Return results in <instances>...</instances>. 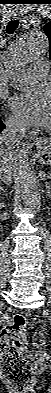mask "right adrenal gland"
Returning a JSON list of instances; mask_svg holds the SVG:
<instances>
[{
    "instance_id": "2a0ac1e0",
    "label": "right adrenal gland",
    "mask_w": 51,
    "mask_h": 393,
    "mask_svg": "<svg viewBox=\"0 0 51 393\" xmlns=\"http://www.w3.org/2000/svg\"><path fill=\"white\" fill-rule=\"evenodd\" d=\"M0 192H1V193H5L4 187H2V186L0 187Z\"/></svg>"
}]
</instances>
